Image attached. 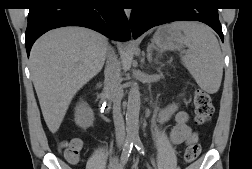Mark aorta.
<instances>
[{
    "label": "aorta",
    "mask_w": 252,
    "mask_h": 169,
    "mask_svg": "<svg viewBox=\"0 0 252 169\" xmlns=\"http://www.w3.org/2000/svg\"><path fill=\"white\" fill-rule=\"evenodd\" d=\"M140 91L136 82L131 85L126 109V133L127 141L133 142L139 139V113Z\"/></svg>",
    "instance_id": "aorta-1"
}]
</instances>
